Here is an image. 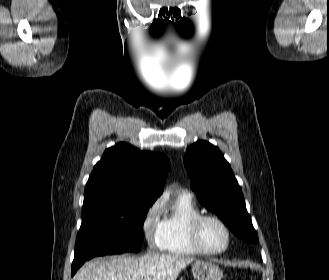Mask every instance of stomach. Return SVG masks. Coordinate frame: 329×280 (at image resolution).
Returning a JSON list of instances; mask_svg holds the SVG:
<instances>
[{
    "label": "stomach",
    "instance_id": "stomach-1",
    "mask_svg": "<svg viewBox=\"0 0 329 280\" xmlns=\"http://www.w3.org/2000/svg\"><path fill=\"white\" fill-rule=\"evenodd\" d=\"M192 273L196 280H221L223 277L218 265L204 261L195 262L192 265Z\"/></svg>",
    "mask_w": 329,
    "mask_h": 280
}]
</instances>
